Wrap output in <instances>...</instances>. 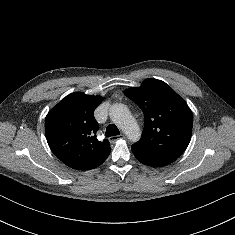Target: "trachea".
<instances>
[{
    "label": "trachea",
    "instance_id": "3493384b",
    "mask_svg": "<svg viewBox=\"0 0 235 235\" xmlns=\"http://www.w3.org/2000/svg\"><path fill=\"white\" fill-rule=\"evenodd\" d=\"M105 135L107 137L116 136V135H120V132H119V129L114 124H110L107 126Z\"/></svg>",
    "mask_w": 235,
    "mask_h": 235
}]
</instances>
